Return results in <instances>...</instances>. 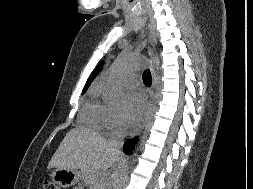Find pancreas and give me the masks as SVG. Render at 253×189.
<instances>
[{"instance_id":"obj_1","label":"pancreas","mask_w":253,"mask_h":189,"mask_svg":"<svg viewBox=\"0 0 253 189\" xmlns=\"http://www.w3.org/2000/svg\"><path fill=\"white\" fill-rule=\"evenodd\" d=\"M81 178L84 183L92 189H103L104 188V179L102 175L94 169L91 168H82L81 169Z\"/></svg>"}]
</instances>
